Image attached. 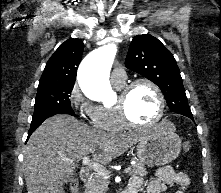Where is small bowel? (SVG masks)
<instances>
[{
  "mask_svg": "<svg viewBox=\"0 0 221 193\" xmlns=\"http://www.w3.org/2000/svg\"><path fill=\"white\" fill-rule=\"evenodd\" d=\"M190 184L188 175L184 172H175L171 167H159L154 174V178L146 185L145 193H164L167 189L176 185L178 190L174 193H185ZM144 185L142 177L135 176L130 180L129 188L138 191Z\"/></svg>",
  "mask_w": 221,
  "mask_h": 193,
  "instance_id": "c3829d8e",
  "label": "small bowel"
}]
</instances>
